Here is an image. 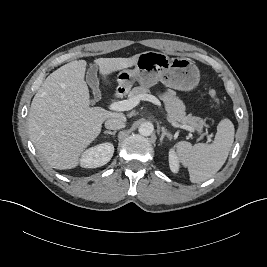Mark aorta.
Returning a JSON list of instances; mask_svg holds the SVG:
<instances>
[{
    "mask_svg": "<svg viewBox=\"0 0 267 267\" xmlns=\"http://www.w3.org/2000/svg\"><path fill=\"white\" fill-rule=\"evenodd\" d=\"M153 130L154 126L149 121L142 123L138 128L139 133L143 136H150L153 133Z\"/></svg>",
    "mask_w": 267,
    "mask_h": 267,
    "instance_id": "obj_1",
    "label": "aorta"
}]
</instances>
